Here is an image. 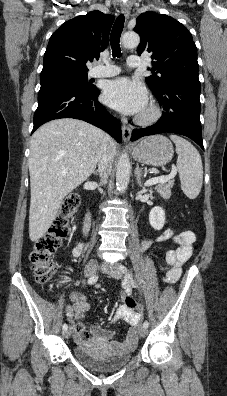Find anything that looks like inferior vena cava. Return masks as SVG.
Wrapping results in <instances>:
<instances>
[{
	"label": "inferior vena cava",
	"mask_w": 227,
	"mask_h": 396,
	"mask_svg": "<svg viewBox=\"0 0 227 396\" xmlns=\"http://www.w3.org/2000/svg\"><path fill=\"white\" fill-rule=\"evenodd\" d=\"M109 139L110 137L106 134L101 147V154L98 159V172L103 183H106V179L111 172L114 157L108 144Z\"/></svg>",
	"instance_id": "inferior-vena-cava-1"
}]
</instances>
